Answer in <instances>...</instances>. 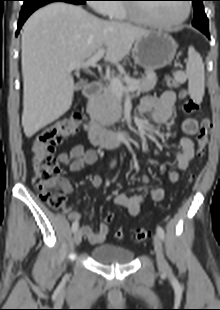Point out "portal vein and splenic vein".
Instances as JSON below:
<instances>
[{
    "label": "portal vein and splenic vein",
    "instance_id": "1",
    "mask_svg": "<svg viewBox=\"0 0 220 310\" xmlns=\"http://www.w3.org/2000/svg\"><path fill=\"white\" fill-rule=\"evenodd\" d=\"M105 54V48H100L91 58L85 62H74L68 66L69 71L79 70L80 68H86L91 65L96 64ZM110 86L114 93L118 96H122L124 92H134L137 89L135 83L129 84L127 87H124L122 83L117 78H112Z\"/></svg>",
    "mask_w": 220,
    "mask_h": 310
}]
</instances>
